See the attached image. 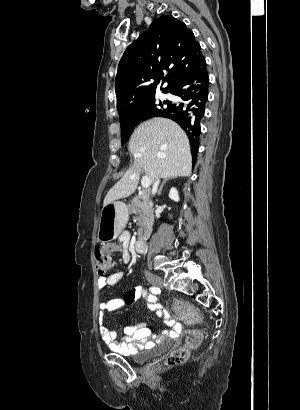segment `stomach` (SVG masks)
Instances as JSON below:
<instances>
[{
	"label": "stomach",
	"instance_id": "stomach-1",
	"mask_svg": "<svg viewBox=\"0 0 300 410\" xmlns=\"http://www.w3.org/2000/svg\"><path fill=\"white\" fill-rule=\"evenodd\" d=\"M129 218L127 206L120 201H115L103 206L99 221L98 240L111 241L116 239Z\"/></svg>",
	"mask_w": 300,
	"mask_h": 410
}]
</instances>
